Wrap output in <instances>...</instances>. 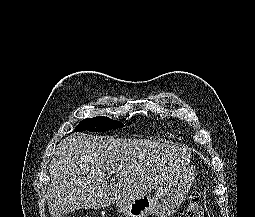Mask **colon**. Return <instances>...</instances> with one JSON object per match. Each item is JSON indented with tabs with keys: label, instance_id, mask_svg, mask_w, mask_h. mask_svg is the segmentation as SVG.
<instances>
[{
	"label": "colon",
	"instance_id": "colon-1",
	"mask_svg": "<svg viewBox=\"0 0 255 217\" xmlns=\"http://www.w3.org/2000/svg\"><path fill=\"white\" fill-rule=\"evenodd\" d=\"M181 217H204V210L200 204V195L198 192L191 193L188 206Z\"/></svg>",
	"mask_w": 255,
	"mask_h": 217
}]
</instances>
